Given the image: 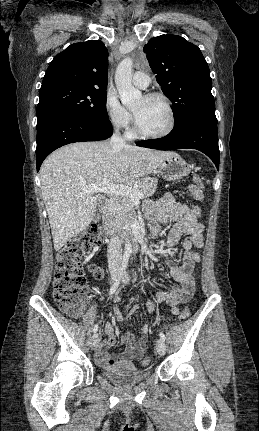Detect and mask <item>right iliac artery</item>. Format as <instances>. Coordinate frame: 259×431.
Wrapping results in <instances>:
<instances>
[{"instance_id": "1", "label": "right iliac artery", "mask_w": 259, "mask_h": 431, "mask_svg": "<svg viewBox=\"0 0 259 431\" xmlns=\"http://www.w3.org/2000/svg\"><path fill=\"white\" fill-rule=\"evenodd\" d=\"M128 260H129V255L125 254L123 256L122 265H121V268H120V272H119L118 278L116 279V281L114 282V284L110 288V291H109L110 295H113L115 293V291L117 290V288H118V286L120 284V281H121V279H122V277H123V275L125 273V270L127 268ZM97 330H98V325H95L94 328H93V333L95 334L97 332Z\"/></svg>"}]
</instances>
